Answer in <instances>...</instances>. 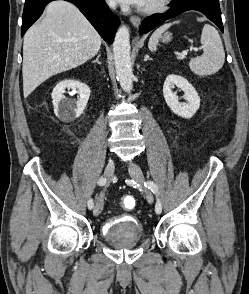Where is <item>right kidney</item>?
Wrapping results in <instances>:
<instances>
[{
  "label": "right kidney",
  "mask_w": 249,
  "mask_h": 294,
  "mask_svg": "<svg viewBox=\"0 0 249 294\" xmlns=\"http://www.w3.org/2000/svg\"><path fill=\"white\" fill-rule=\"evenodd\" d=\"M65 89L78 90V100L66 98L63 93ZM90 97L89 87L80 81L66 79L60 81L52 92V102L55 114L64 121H73L78 118L86 108Z\"/></svg>",
  "instance_id": "1"
}]
</instances>
